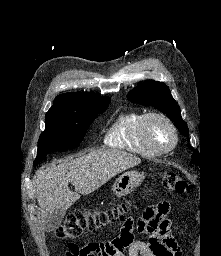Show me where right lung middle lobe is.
<instances>
[{
    "instance_id": "right-lung-middle-lobe-1",
    "label": "right lung middle lobe",
    "mask_w": 221,
    "mask_h": 256,
    "mask_svg": "<svg viewBox=\"0 0 221 256\" xmlns=\"http://www.w3.org/2000/svg\"><path fill=\"white\" fill-rule=\"evenodd\" d=\"M110 101V98L97 99L81 105L75 112L47 113L34 165L52 151L79 146L91 122L107 109Z\"/></svg>"
}]
</instances>
